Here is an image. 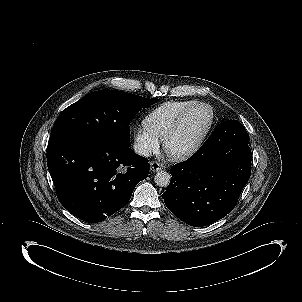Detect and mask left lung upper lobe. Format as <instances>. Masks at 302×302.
<instances>
[{
  "mask_svg": "<svg viewBox=\"0 0 302 302\" xmlns=\"http://www.w3.org/2000/svg\"><path fill=\"white\" fill-rule=\"evenodd\" d=\"M249 137L244 126L237 120H227L218 125L202 145H211L219 151H229L248 146Z\"/></svg>",
  "mask_w": 302,
  "mask_h": 302,
  "instance_id": "1",
  "label": "left lung upper lobe"
}]
</instances>
